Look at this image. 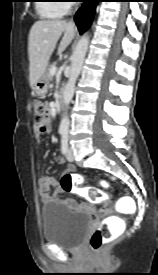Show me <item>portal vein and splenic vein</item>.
<instances>
[{"label": "portal vein and splenic vein", "instance_id": "obj_1", "mask_svg": "<svg viewBox=\"0 0 158 275\" xmlns=\"http://www.w3.org/2000/svg\"><path fill=\"white\" fill-rule=\"evenodd\" d=\"M56 70L57 68L54 66L50 71L51 75H54L56 73Z\"/></svg>", "mask_w": 158, "mask_h": 275}]
</instances>
